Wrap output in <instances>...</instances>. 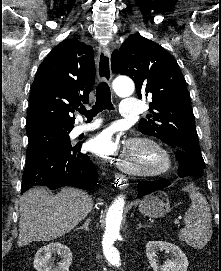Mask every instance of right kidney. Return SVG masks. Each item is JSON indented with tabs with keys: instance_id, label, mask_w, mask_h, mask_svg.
Wrapping results in <instances>:
<instances>
[{
	"instance_id": "obj_1",
	"label": "right kidney",
	"mask_w": 221,
	"mask_h": 271,
	"mask_svg": "<svg viewBox=\"0 0 221 271\" xmlns=\"http://www.w3.org/2000/svg\"><path fill=\"white\" fill-rule=\"evenodd\" d=\"M55 255H60L57 265H55ZM72 263V251L70 247L60 243V241H51L47 245H42L33 261V267L37 271H69Z\"/></svg>"
}]
</instances>
